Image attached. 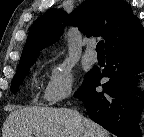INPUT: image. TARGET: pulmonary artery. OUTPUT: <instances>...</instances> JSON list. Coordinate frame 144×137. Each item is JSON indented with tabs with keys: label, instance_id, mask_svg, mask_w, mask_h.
<instances>
[{
	"label": "pulmonary artery",
	"instance_id": "1",
	"mask_svg": "<svg viewBox=\"0 0 144 137\" xmlns=\"http://www.w3.org/2000/svg\"><path fill=\"white\" fill-rule=\"evenodd\" d=\"M95 43L94 42H89L87 45V48L85 50V58L87 61L90 63H95L98 60L97 54L94 51Z\"/></svg>",
	"mask_w": 144,
	"mask_h": 137
}]
</instances>
